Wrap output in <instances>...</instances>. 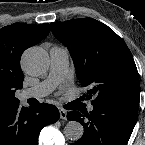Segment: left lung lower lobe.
<instances>
[{
	"instance_id": "obj_1",
	"label": "left lung lower lobe",
	"mask_w": 145,
	"mask_h": 145,
	"mask_svg": "<svg viewBox=\"0 0 145 145\" xmlns=\"http://www.w3.org/2000/svg\"><path fill=\"white\" fill-rule=\"evenodd\" d=\"M93 110L71 111L68 120L80 122L83 136L70 145H126L138 116L139 102L114 101L92 104Z\"/></svg>"
}]
</instances>
